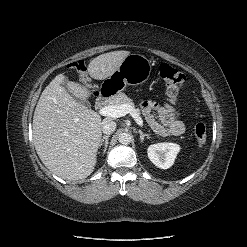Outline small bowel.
I'll use <instances>...</instances> for the list:
<instances>
[{
  "instance_id": "1",
  "label": "small bowel",
  "mask_w": 247,
  "mask_h": 247,
  "mask_svg": "<svg viewBox=\"0 0 247 247\" xmlns=\"http://www.w3.org/2000/svg\"><path fill=\"white\" fill-rule=\"evenodd\" d=\"M141 107L148 125L157 135L162 137L178 136L185 131L181 113L173 106L147 100L142 103Z\"/></svg>"
}]
</instances>
